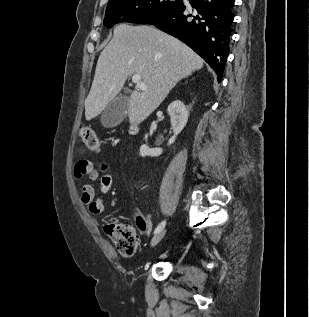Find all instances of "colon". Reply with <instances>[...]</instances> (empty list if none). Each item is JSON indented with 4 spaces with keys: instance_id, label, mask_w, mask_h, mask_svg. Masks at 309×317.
Instances as JSON below:
<instances>
[{
    "instance_id": "colon-1",
    "label": "colon",
    "mask_w": 309,
    "mask_h": 317,
    "mask_svg": "<svg viewBox=\"0 0 309 317\" xmlns=\"http://www.w3.org/2000/svg\"><path fill=\"white\" fill-rule=\"evenodd\" d=\"M79 136L84 146L90 151L99 150V140L95 132L88 126L80 128ZM138 226L143 231L147 230V225L143 220L138 221ZM110 240L116 249L124 256H133L138 247V236L135 228L128 223L111 220L105 228Z\"/></svg>"
}]
</instances>
